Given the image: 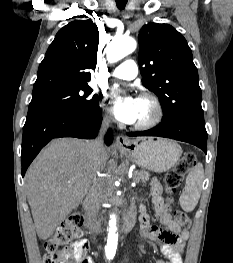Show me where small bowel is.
Returning <instances> with one entry per match:
<instances>
[{
	"mask_svg": "<svg viewBox=\"0 0 233 263\" xmlns=\"http://www.w3.org/2000/svg\"><path fill=\"white\" fill-rule=\"evenodd\" d=\"M151 194L155 214L166 229L151 226L148 215L142 210L140 215L142 237L145 240L158 243L162 253L167 258V261L157 260L155 263H183L182 253L189 233L173 219L170 206L163 196L162 187L156 179L151 182ZM85 242L87 243L86 240ZM86 263H94V261L88 257Z\"/></svg>",
	"mask_w": 233,
	"mask_h": 263,
	"instance_id": "1",
	"label": "small bowel"
}]
</instances>
